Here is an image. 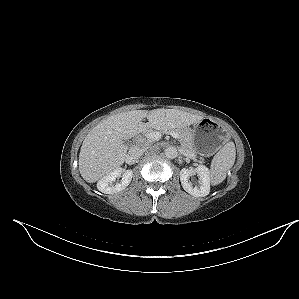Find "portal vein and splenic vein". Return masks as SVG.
<instances>
[{
	"label": "portal vein and splenic vein",
	"mask_w": 299,
	"mask_h": 299,
	"mask_svg": "<svg viewBox=\"0 0 299 299\" xmlns=\"http://www.w3.org/2000/svg\"><path fill=\"white\" fill-rule=\"evenodd\" d=\"M169 134L173 138H178L179 137L178 133H176L174 131H171ZM146 136H147V138H149L150 140L155 142V141H158L161 138V133L159 131H153V132L147 133Z\"/></svg>",
	"instance_id": "18ae733b"
}]
</instances>
